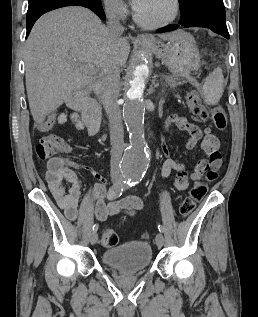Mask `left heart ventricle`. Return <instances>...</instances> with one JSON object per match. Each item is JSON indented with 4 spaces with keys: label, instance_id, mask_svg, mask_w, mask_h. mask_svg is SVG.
<instances>
[{
    "label": "left heart ventricle",
    "instance_id": "obj_1",
    "mask_svg": "<svg viewBox=\"0 0 258 317\" xmlns=\"http://www.w3.org/2000/svg\"><path fill=\"white\" fill-rule=\"evenodd\" d=\"M173 12V5L167 0H155L139 10L140 19L145 26L154 27L168 19Z\"/></svg>",
    "mask_w": 258,
    "mask_h": 317
}]
</instances>
